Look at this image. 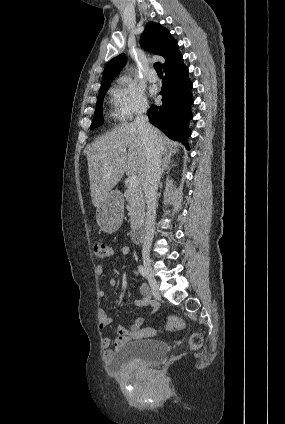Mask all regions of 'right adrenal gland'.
I'll return each instance as SVG.
<instances>
[{
	"instance_id": "obj_1",
	"label": "right adrenal gland",
	"mask_w": 285,
	"mask_h": 424,
	"mask_svg": "<svg viewBox=\"0 0 285 424\" xmlns=\"http://www.w3.org/2000/svg\"><path fill=\"white\" fill-rule=\"evenodd\" d=\"M171 163V160L168 158L164 159L163 163H162V169H161V175L164 173V170L169 168V164ZM172 166H176L175 164H172Z\"/></svg>"
}]
</instances>
